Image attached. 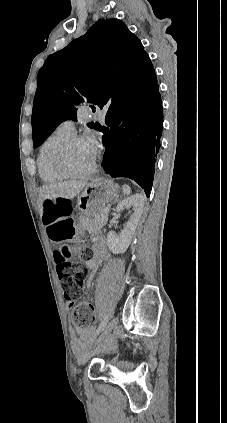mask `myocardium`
<instances>
[{"label": "myocardium", "mask_w": 227, "mask_h": 423, "mask_svg": "<svg viewBox=\"0 0 227 423\" xmlns=\"http://www.w3.org/2000/svg\"><path fill=\"white\" fill-rule=\"evenodd\" d=\"M77 143H87V140L83 136L72 135L71 137L60 143L54 151L53 163L57 170L66 178L70 179H81L93 174L97 169V162L84 172H74L70 169L67 155L72 146Z\"/></svg>", "instance_id": "obj_1"}]
</instances>
